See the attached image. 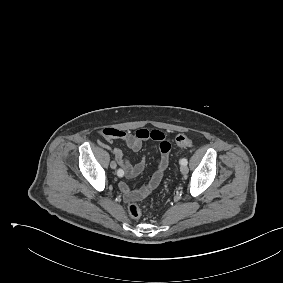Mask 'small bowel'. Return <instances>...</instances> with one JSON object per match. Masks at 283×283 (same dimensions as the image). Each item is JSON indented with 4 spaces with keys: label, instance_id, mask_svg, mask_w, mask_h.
Here are the masks:
<instances>
[{
    "label": "small bowel",
    "instance_id": "obj_1",
    "mask_svg": "<svg viewBox=\"0 0 283 283\" xmlns=\"http://www.w3.org/2000/svg\"><path fill=\"white\" fill-rule=\"evenodd\" d=\"M100 135L107 141L121 139L125 142L130 150L135 152L139 151L142 148L144 141L148 139H153L159 142V150L161 154L160 161L157 170L152 175L149 182L145 186L135 190H132L125 182H121L119 184V188L122 191L123 197L126 201L140 200L150 194L160 184L169 165V153L171 149V145L166 139L164 133L158 130L141 128L132 134L128 131L107 127L100 131ZM112 152L115 156V160L124 171L126 178H134L144 171V160L133 165L130 163L129 159L126 155H124L121 149L114 148Z\"/></svg>",
    "mask_w": 283,
    "mask_h": 283
}]
</instances>
